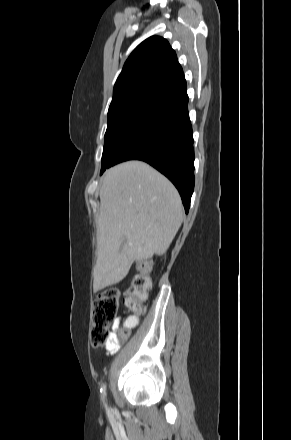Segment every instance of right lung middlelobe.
<instances>
[{
    "instance_id": "obj_1",
    "label": "right lung middle lobe",
    "mask_w": 291,
    "mask_h": 440,
    "mask_svg": "<svg viewBox=\"0 0 291 440\" xmlns=\"http://www.w3.org/2000/svg\"><path fill=\"white\" fill-rule=\"evenodd\" d=\"M154 99L137 97L110 104L100 174L109 167L112 157L138 125Z\"/></svg>"
}]
</instances>
